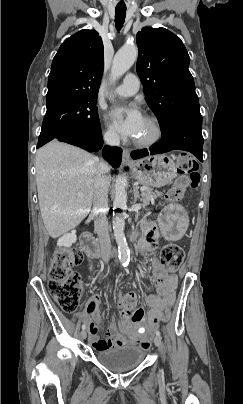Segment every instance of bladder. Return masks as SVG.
<instances>
[{"instance_id":"31cf9c89","label":"bladder","mask_w":243,"mask_h":404,"mask_svg":"<svg viewBox=\"0 0 243 404\" xmlns=\"http://www.w3.org/2000/svg\"><path fill=\"white\" fill-rule=\"evenodd\" d=\"M145 351L138 346H120L100 350L96 353L98 363L112 372H126L141 365Z\"/></svg>"}]
</instances>
